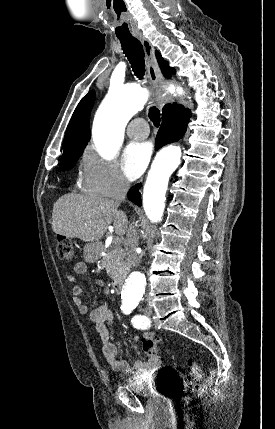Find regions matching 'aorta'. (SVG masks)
<instances>
[{
  "label": "aorta",
  "mask_w": 275,
  "mask_h": 429,
  "mask_svg": "<svg viewBox=\"0 0 275 429\" xmlns=\"http://www.w3.org/2000/svg\"><path fill=\"white\" fill-rule=\"evenodd\" d=\"M147 100L146 92L138 85L112 87L99 107L93 124V140L98 153L113 157L124 138L129 119L141 110ZM181 149L170 145L156 157L143 190V207L152 222H160L165 208L168 181L180 162ZM146 278L141 272L131 273L123 286L124 304L134 305L142 297Z\"/></svg>",
  "instance_id": "1"
}]
</instances>
